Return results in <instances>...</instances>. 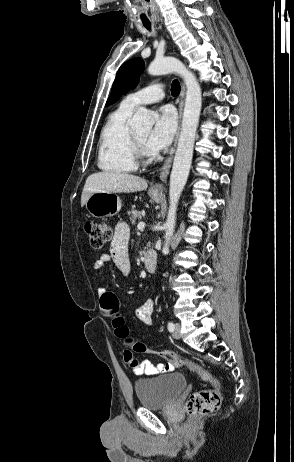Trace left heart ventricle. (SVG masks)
Segmentation results:
<instances>
[{
	"label": "left heart ventricle",
	"mask_w": 294,
	"mask_h": 462,
	"mask_svg": "<svg viewBox=\"0 0 294 462\" xmlns=\"http://www.w3.org/2000/svg\"><path fill=\"white\" fill-rule=\"evenodd\" d=\"M135 134L137 135V137L141 141H143L145 143L147 141L149 132L148 131H141V132H136Z\"/></svg>",
	"instance_id": "left-heart-ventricle-1"
}]
</instances>
